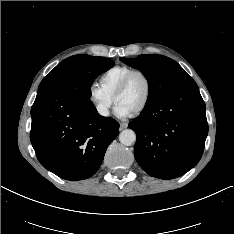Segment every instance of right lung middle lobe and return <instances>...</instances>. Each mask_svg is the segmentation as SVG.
Listing matches in <instances>:
<instances>
[{
	"label": "right lung middle lobe",
	"instance_id": "right-lung-middle-lobe-1",
	"mask_svg": "<svg viewBox=\"0 0 234 234\" xmlns=\"http://www.w3.org/2000/svg\"><path fill=\"white\" fill-rule=\"evenodd\" d=\"M114 62L104 57L74 55L59 63L40 83L44 88L69 85L79 95L89 100L93 80L112 68Z\"/></svg>",
	"mask_w": 234,
	"mask_h": 234
}]
</instances>
